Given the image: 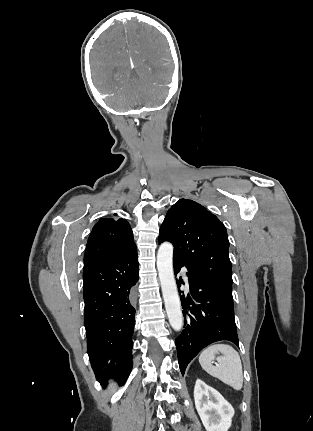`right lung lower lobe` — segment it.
I'll use <instances>...</instances> for the list:
<instances>
[{"instance_id":"1","label":"right lung lower lobe","mask_w":313,"mask_h":431,"mask_svg":"<svg viewBox=\"0 0 313 431\" xmlns=\"http://www.w3.org/2000/svg\"><path fill=\"white\" fill-rule=\"evenodd\" d=\"M83 297L87 350L96 379L123 384L132 369L135 309L132 287L138 281L137 249L84 265Z\"/></svg>"}]
</instances>
